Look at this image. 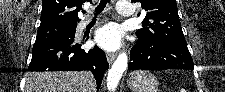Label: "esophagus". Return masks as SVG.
<instances>
[{
	"mask_svg": "<svg viewBox=\"0 0 225 92\" xmlns=\"http://www.w3.org/2000/svg\"><path fill=\"white\" fill-rule=\"evenodd\" d=\"M117 54L116 53H107V60L109 64H112L116 58Z\"/></svg>",
	"mask_w": 225,
	"mask_h": 92,
	"instance_id": "34e87169",
	"label": "esophagus"
}]
</instances>
